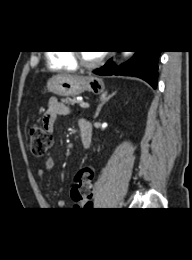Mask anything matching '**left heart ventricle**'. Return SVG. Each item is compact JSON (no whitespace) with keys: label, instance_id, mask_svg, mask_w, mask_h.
<instances>
[{"label":"left heart ventricle","instance_id":"left-heart-ventricle-1","mask_svg":"<svg viewBox=\"0 0 192 260\" xmlns=\"http://www.w3.org/2000/svg\"><path fill=\"white\" fill-rule=\"evenodd\" d=\"M82 55L87 61H94L97 57H99L100 53L94 51H84L82 52Z\"/></svg>","mask_w":192,"mask_h":260}]
</instances>
